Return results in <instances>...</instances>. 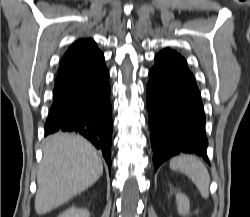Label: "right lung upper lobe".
<instances>
[{"label": "right lung upper lobe", "instance_id": "cb5924a9", "mask_svg": "<svg viewBox=\"0 0 250 217\" xmlns=\"http://www.w3.org/2000/svg\"><path fill=\"white\" fill-rule=\"evenodd\" d=\"M100 55L102 53L92 39L76 41L63 56L56 81L83 70Z\"/></svg>", "mask_w": 250, "mask_h": 217}]
</instances>
